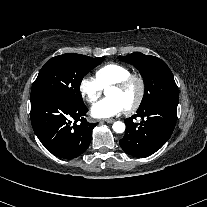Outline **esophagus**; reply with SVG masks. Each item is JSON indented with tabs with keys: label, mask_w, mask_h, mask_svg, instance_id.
Instances as JSON below:
<instances>
[{
	"label": "esophagus",
	"mask_w": 207,
	"mask_h": 207,
	"mask_svg": "<svg viewBox=\"0 0 207 207\" xmlns=\"http://www.w3.org/2000/svg\"><path fill=\"white\" fill-rule=\"evenodd\" d=\"M115 121V119L113 118H107V119H103L100 122H106V123H113Z\"/></svg>",
	"instance_id": "34e87169"
}]
</instances>
